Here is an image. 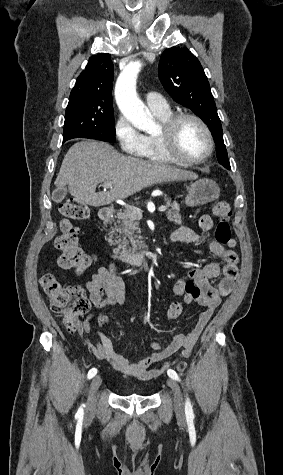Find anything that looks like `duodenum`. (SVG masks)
I'll return each instance as SVG.
<instances>
[{
	"mask_svg": "<svg viewBox=\"0 0 283 475\" xmlns=\"http://www.w3.org/2000/svg\"><path fill=\"white\" fill-rule=\"evenodd\" d=\"M112 217L113 210L110 208H101L98 212V219L104 224L110 222ZM112 257L115 260L129 264H142L149 259L150 252L147 250L137 252L117 251L112 254Z\"/></svg>",
	"mask_w": 283,
	"mask_h": 475,
	"instance_id": "obj_1",
	"label": "duodenum"
}]
</instances>
